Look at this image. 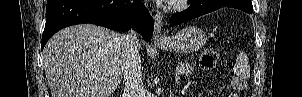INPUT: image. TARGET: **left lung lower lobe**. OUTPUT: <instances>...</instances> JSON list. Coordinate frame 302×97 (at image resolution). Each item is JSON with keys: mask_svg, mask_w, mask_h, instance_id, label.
I'll use <instances>...</instances> for the list:
<instances>
[{"mask_svg": "<svg viewBox=\"0 0 302 97\" xmlns=\"http://www.w3.org/2000/svg\"><path fill=\"white\" fill-rule=\"evenodd\" d=\"M221 7L237 8L249 14L253 12L251 0H193L186 10L172 16L170 26H176Z\"/></svg>", "mask_w": 302, "mask_h": 97, "instance_id": "1", "label": "left lung lower lobe"}]
</instances>
